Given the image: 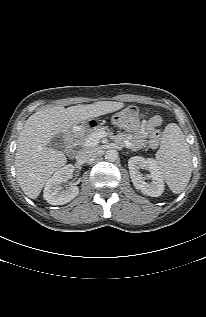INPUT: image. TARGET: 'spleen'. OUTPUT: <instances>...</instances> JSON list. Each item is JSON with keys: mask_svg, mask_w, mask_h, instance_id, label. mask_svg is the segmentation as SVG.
Here are the masks:
<instances>
[{"mask_svg": "<svg viewBox=\"0 0 206 317\" xmlns=\"http://www.w3.org/2000/svg\"><path fill=\"white\" fill-rule=\"evenodd\" d=\"M156 163L171 191L181 193L191 178L192 163L189 145L177 124L170 123L165 127Z\"/></svg>", "mask_w": 206, "mask_h": 317, "instance_id": "obj_1", "label": "spleen"}]
</instances>
